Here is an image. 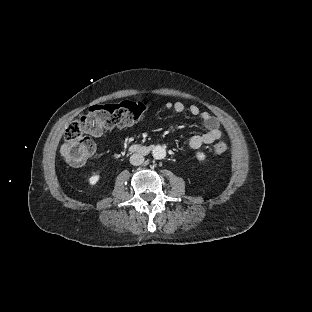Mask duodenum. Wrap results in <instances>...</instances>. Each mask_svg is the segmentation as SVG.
<instances>
[{
  "label": "duodenum",
  "instance_id": "410a0bca",
  "mask_svg": "<svg viewBox=\"0 0 312 312\" xmlns=\"http://www.w3.org/2000/svg\"><path fill=\"white\" fill-rule=\"evenodd\" d=\"M129 150L136 154H146L149 151V146L144 144H133L129 147Z\"/></svg>",
  "mask_w": 312,
  "mask_h": 312
}]
</instances>
